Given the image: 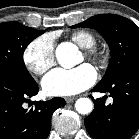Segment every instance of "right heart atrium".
I'll list each match as a JSON object with an SVG mask.
<instances>
[{
	"instance_id": "right-heart-atrium-1",
	"label": "right heart atrium",
	"mask_w": 139,
	"mask_h": 139,
	"mask_svg": "<svg viewBox=\"0 0 139 139\" xmlns=\"http://www.w3.org/2000/svg\"><path fill=\"white\" fill-rule=\"evenodd\" d=\"M22 58L30 72L44 74L55 63L53 38L50 35L35 38L25 47Z\"/></svg>"
}]
</instances>
